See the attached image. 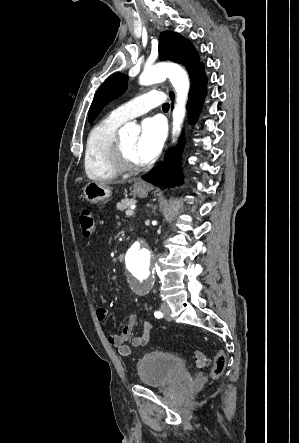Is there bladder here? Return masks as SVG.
Listing matches in <instances>:
<instances>
[{
    "label": "bladder",
    "instance_id": "obj_1",
    "mask_svg": "<svg viewBox=\"0 0 299 443\" xmlns=\"http://www.w3.org/2000/svg\"><path fill=\"white\" fill-rule=\"evenodd\" d=\"M136 371L140 383L149 388H165L190 379L184 361L167 352L145 353L138 359Z\"/></svg>",
    "mask_w": 299,
    "mask_h": 443
}]
</instances>
